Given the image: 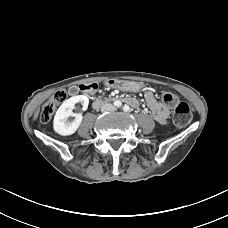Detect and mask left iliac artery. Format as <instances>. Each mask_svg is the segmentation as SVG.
Returning <instances> with one entry per match:
<instances>
[{
  "instance_id": "left-iliac-artery-1",
  "label": "left iliac artery",
  "mask_w": 228,
  "mask_h": 228,
  "mask_svg": "<svg viewBox=\"0 0 228 228\" xmlns=\"http://www.w3.org/2000/svg\"><path fill=\"white\" fill-rule=\"evenodd\" d=\"M123 110L124 111H128L129 110V106H127V105L123 106Z\"/></svg>"
}]
</instances>
